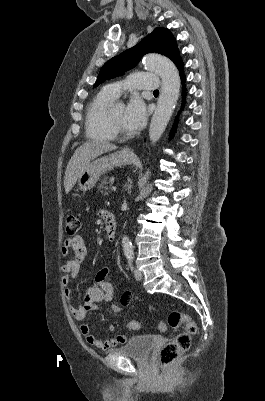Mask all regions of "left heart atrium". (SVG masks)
I'll return each mask as SVG.
<instances>
[{"label":"left heart atrium","mask_w":265,"mask_h":401,"mask_svg":"<svg viewBox=\"0 0 265 401\" xmlns=\"http://www.w3.org/2000/svg\"><path fill=\"white\" fill-rule=\"evenodd\" d=\"M124 117L130 130L141 128L147 117L144 102L139 97H132L125 108Z\"/></svg>","instance_id":"39dd6f15"}]
</instances>
